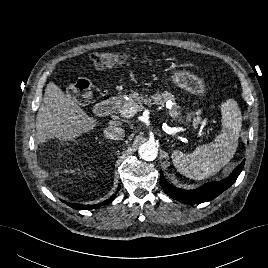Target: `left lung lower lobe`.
<instances>
[{"mask_svg": "<svg viewBox=\"0 0 268 268\" xmlns=\"http://www.w3.org/2000/svg\"><path fill=\"white\" fill-rule=\"evenodd\" d=\"M244 162L245 161L236 167L235 170L226 179L219 182L207 183L195 190H184L172 186L165 180L162 172L160 176V185L168 196L184 203L198 204L211 201L236 181L244 166Z\"/></svg>", "mask_w": 268, "mask_h": 268, "instance_id": "obj_1", "label": "left lung lower lobe"}]
</instances>
